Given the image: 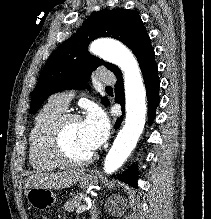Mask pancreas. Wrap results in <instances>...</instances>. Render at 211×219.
I'll return each instance as SVG.
<instances>
[{
	"mask_svg": "<svg viewBox=\"0 0 211 219\" xmlns=\"http://www.w3.org/2000/svg\"><path fill=\"white\" fill-rule=\"evenodd\" d=\"M84 197H86L85 194H79L77 196H74L72 199H70L64 204L63 209L67 212L75 211L80 207Z\"/></svg>",
	"mask_w": 211,
	"mask_h": 219,
	"instance_id": "1",
	"label": "pancreas"
}]
</instances>
